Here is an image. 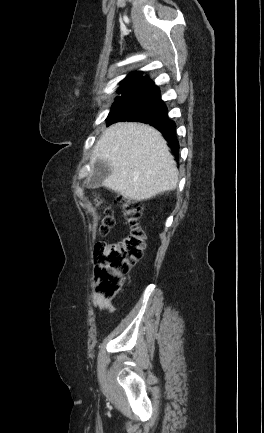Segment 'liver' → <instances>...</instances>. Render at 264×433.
<instances>
[{
	"mask_svg": "<svg viewBox=\"0 0 264 433\" xmlns=\"http://www.w3.org/2000/svg\"><path fill=\"white\" fill-rule=\"evenodd\" d=\"M107 161L111 173L103 185L124 198L143 201L174 190L178 170L162 134L146 124L120 122L97 140L90 164Z\"/></svg>",
	"mask_w": 264,
	"mask_h": 433,
	"instance_id": "obj_1",
	"label": "liver"
}]
</instances>
